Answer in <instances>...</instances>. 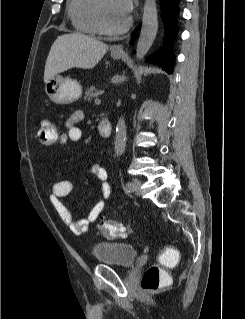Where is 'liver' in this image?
<instances>
[{
	"instance_id": "1",
	"label": "liver",
	"mask_w": 245,
	"mask_h": 319,
	"mask_svg": "<svg viewBox=\"0 0 245 319\" xmlns=\"http://www.w3.org/2000/svg\"><path fill=\"white\" fill-rule=\"evenodd\" d=\"M108 51V45L81 33L57 37L51 46L44 70V82L71 68L92 69Z\"/></svg>"
}]
</instances>
